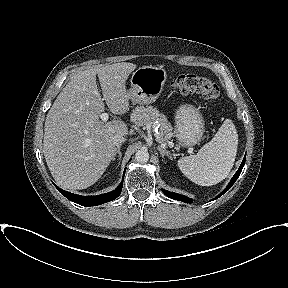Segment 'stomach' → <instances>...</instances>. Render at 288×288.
Instances as JSON below:
<instances>
[{
	"label": "stomach",
	"mask_w": 288,
	"mask_h": 288,
	"mask_svg": "<svg viewBox=\"0 0 288 288\" xmlns=\"http://www.w3.org/2000/svg\"><path fill=\"white\" fill-rule=\"evenodd\" d=\"M167 79L162 67L142 66L131 76V88L127 91L133 103L148 105L157 100ZM175 136L183 147L197 144L204 133V120L193 105H181L175 112Z\"/></svg>",
	"instance_id": "obj_1"
}]
</instances>
